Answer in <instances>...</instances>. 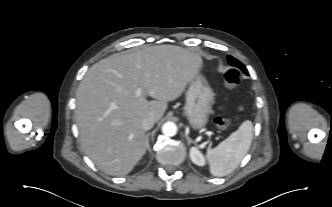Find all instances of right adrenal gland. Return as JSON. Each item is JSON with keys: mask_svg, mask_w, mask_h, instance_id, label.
I'll return each instance as SVG.
<instances>
[{"mask_svg": "<svg viewBox=\"0 0 332 207\" xmlns=\"http://www.w3.org/2000/svg\"><path fill=\"white\" fill-rule=\"evenodd\" d=\"M149 135L150 133L146 134V141H147V150L150 152Z\"/></svg>", "mask_w": 332, "mask_h": 207, "instance_id": "2a0ac1e0", "label": "right adrenal gland"}]
</instances>
